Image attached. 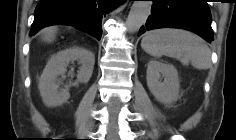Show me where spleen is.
<instances>
[{
  "label": "spleen",
  "instance_id": "3e777b00",
  "mask_svg": "<svg viewBox=\"0 0 236 140\" xmlns=\"http://www.w3.org/2000/svg\"><path fill=\"white\" fill-rule=\"evenodd\" d=\"M142 49L153 57L163 55L178 59L196 69L211 66V51L199 36L181 29H157L145 34Z\"/></svg>",
  "mask_w": 236,
  "mask_h": 140
}]
</instances>
